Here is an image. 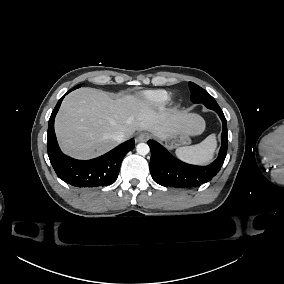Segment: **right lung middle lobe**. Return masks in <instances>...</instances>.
Wrapping results in <instances>:
<instances>
[{"instance_id":"dd1d6c3e","label":"right lung middle lobe","mask_w":284,"mask_h":284,"mask_svg":"<svg viewBox=\"0 0 284 284\" xmlns=\"http://www.w3.org/2000/svg\"><path fill=\"white\" fill-rule=\"evenodd\" d=\"M80 87V85H77L76 87H74V89H77V88H79Z\"/></svg>"}]
</instances>
